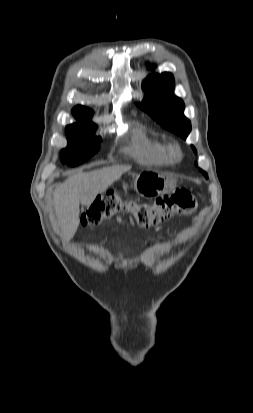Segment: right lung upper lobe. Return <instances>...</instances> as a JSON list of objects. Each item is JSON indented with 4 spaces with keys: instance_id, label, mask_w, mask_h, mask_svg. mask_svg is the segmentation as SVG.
I'll list each match as a JSON object with an SVG mask.
<instances>
[{
    "instance_id": "right-lung-upper-lobe-1",
    "label": "right lung upper lobe",
    "mask_w": 253,
    "mask_h": 413,
    "mask_svg": "<svg viewBox=\"0 0 253 413\" xmlns=\"http://www.w3.org/2000/svg\"><path fill=\"white\" fill-rule=\"evenodd\" d=\"M92 114L90 109L83 106H76L73 109V115L78 121H90Z\"/></svg>"
}]
</instances>
